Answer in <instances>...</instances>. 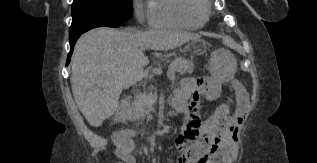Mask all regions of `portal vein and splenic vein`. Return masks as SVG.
I'll list each match as a JSON object with an SVG mask.
<instances>
[{
  "label": "portal vein and splenic vein",
  "mask_w": 317,
  "mask_h": 163,
  "mask_svg": "<svg viewBox=\"0 0 317 163\" xmlns=\"http://www.w3.org/2000/svg\"><path fill=\"white\" fill-rule=\"evenodd\" d=\"M168 72H169V74H170L171 76H174V75H175V71H173V70H170V69H169Z\"/></svg>",
  "instance_id": "18ae733b"
}]
</instances>
